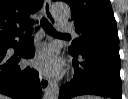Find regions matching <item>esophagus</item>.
<instances>
[{"mask_svg": "<svg viewBox=\"0 0 128 99\" xmlns=\"http://www.w3.org/2000/svg\"><path fill=\"white\" fill-rule=\"evenodd\" d=\"M43 11H44V14H45L46 18L48 19V21L52 24H55L56 21L51 12V1L50 0L44 1ZM40 84H41L42 90L45 92L50 86V81L45 76L41 75L40 76Z\"/></svg>", "mask_w": 128, "mask_h": 99, "instance_id": "obj_1", "label": "esophagus"}]
</instances>
